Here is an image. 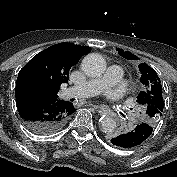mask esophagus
I'll return each mask as SVG.
<instances>
[{"label": "esophagus", "instance_id": "34e87169", "mask_svg": "<svg viewBox=\"0 0 177 177\" xmlns=\"http://www.w3.org/2000/svg\"><path fill=\"white\" fill-rule=\"evenodd\" d=\"M96 108L98 109L99 113H107L109 111L104 105L96 106Z\"/></svg>", "mask_w": 177, "mask_h": 177}]
</instances>
